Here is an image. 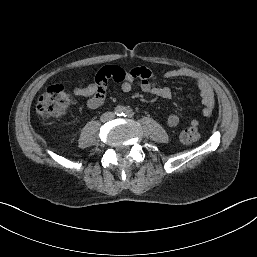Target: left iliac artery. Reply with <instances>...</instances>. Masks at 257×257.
<instances>
[{"label": "left iliac artery", "mask_w": 257, "mask_h": 257, "mask_svg": "<svg viewBox=\"0 0 257 257\" xmlns=\"http://www.w3.org/2000/svg\"><path fill=\"white\" fill-rule=\"evenodd\" d=\"M123 116H125V117H133L134 116V112L130 108H125Z\"/></svg>", "instance_id": "obj_1"}]
</instances>
